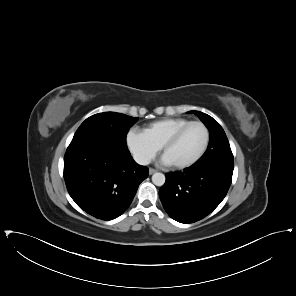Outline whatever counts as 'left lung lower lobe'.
<instances>
[{
    "mask_svg": "<svg viewBox=\"0 0 296 296\" xmlns=\"http://www.w3.org/2000/svg\"><path fill=\"white\" fill-rule=\"evenodd\" d=\"M234 161L209 165L197 162L183 172L166 174L159 190L164 209L181 223H193L210 214L224 199L231 185Z\"/></svg>",
    "mask_w": 296,
    "mask_h": 296,
    "instance_id": "obj_1",
    "label": "left lung lower lobe"
}]
</instances>
